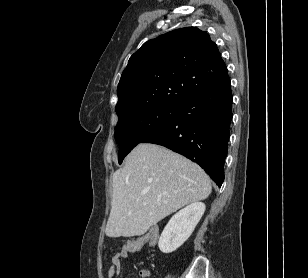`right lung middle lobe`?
<instances>
[{"instance_id": "right-lung-middle-lobe-1", "label": "right lung middle lobe", "mask_w": 308, "mask_h": 278, "mask_svg": "<svg viewBox=\"0 0 308 278\" xmlns=\"http://www.w3.org/2000/svg\"><path fill=\"white\" fill-rule=\"evenodd\" d=\"M178 114V106H157L134 112L119 120L115 128L119 144L118 162L139 143L172 122Z\"/></svg>"}]
</instances>
